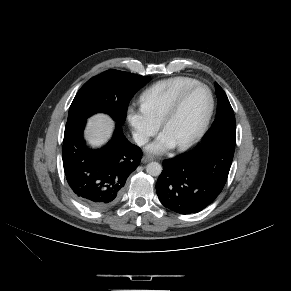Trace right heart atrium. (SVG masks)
I'll return each instance as SVG.
<instances>
[{"instance_id": "obj_1", "label": "right heart atrium", "mask_w": 291, "mask_h": 291, "mask_svg": "<svg viewBox=\"0 0 291 291\" xmlns=\"http://www.w3.org/2000/svg\"><path fill=\"white\" fill-rule=\"evenodd\" d=\"M126 119L138 145L146 144L157 133L160 126V123L151 117L141 105H130L126 110Z\"/></svg>"}]
</instances>
